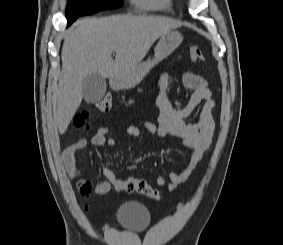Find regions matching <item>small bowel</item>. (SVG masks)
<instances>
[{
	"label": "small bowel",
	"instance_id": "small-bowel-1",
	"mask_svg": "<svg viewBox=\"0 0 283 245\" xmlns=\"http://www.w3.org/2000/svg\"><path fill=\"white\" fill-rule=\"evenodd\" d=\"M182 82L185 88L193 90V94L183 108L177 109L171 105L167 96L171 75L166 72L161 75L158 82L156 97V106L159 110L158 122L155 124L149 121H141L138 125H130L126 129L127 135L136 138L142 136V130H146L156 138H162L166 135L175 136L182 139L191 148L192 153L188 157L185 167L179 172H171L168 182L164 176H157L156 183L159 186H167L169 190H175L192 176L204 154L211 150L215 131L212 113L216 104L207 81L201 76L186 70L182 75ZM199 105H202V108L198 117L194 121L188 122L186 119ZM109 130L108 126L100 127L91 139L92 145L115 147L117 142L114 138L108 137ZM86 145L87 141L85 139H79L68 146L62 154L65 170L73 178L79 176L75 166L76 153L85 148ZM135 168V163L129 166V170ZM104 175L107 180L98 182L94 187V192L98 196L107 194L118 179L108 168L104 169ZM84 209L88 210L89 206L85 205Z\"/></svg>",
	"mask_w": 283,
	"mask_h": 245
}]
</instances>
